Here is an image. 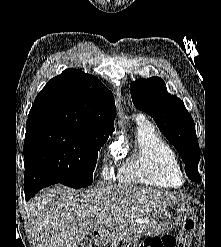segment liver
Listing matches in <instances>:
<instances>
[{"mask_svg":"<svg viewBox=\"0 0 221 247\" xmlns=\"http://www.w3.org/2000/svg\"><path fill=\"white\" fill-rule=\"evenodd\" d=\"M176 196L152 188L113 185L80 194L55 185L26 205L43 247H78L89 231L105 232L165 206Z\"/></svg>","mask_w":221,"mask_h":247,"instance_id":"1","label":"liver"}]
</instances>
